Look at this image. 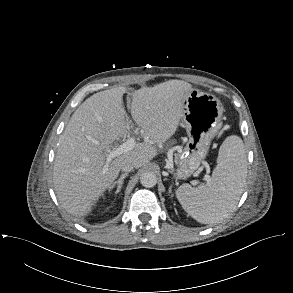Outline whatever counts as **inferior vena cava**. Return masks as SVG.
Segmentation results:
<instances>
[{
	"label": "inferior vena cava",
	"instance_id": "602c4592",
	"mask_svg": "<svg viewBox=\"0 0 293 293\" xmlns=\"http://www.w3.org/2000/svg\"><path fill=\"white\" fill-rule=\"evenodd\" d=\"M134 167H135L134 163L131 160L127 159L122 163L121 170L128 173L131 170H133Z\"/></svg>",
	"mask_w": 293,
	"mask_h": 293
}]
</instances>
